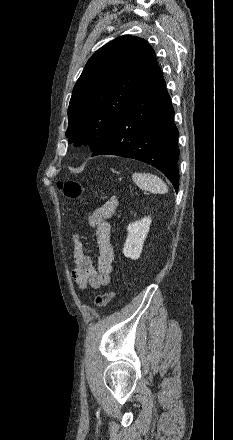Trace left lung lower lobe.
<instances>
[{"label": "left lung lower lobe", "instance_id": "0a47b994", "mask_svg": "<svg viewBox=\"0 0 233 440\" xmlns=\"http://www.w3.org/2000/svg\"><path fill=\"white\" fill-rule=\"evenodd\" d=\"M165 81L157 66L117 118L107 139L91 155H117L148 163L179 186V132Z\"/></svg>", "mask_w": 233, "mask_h": 440}]
</instances>
